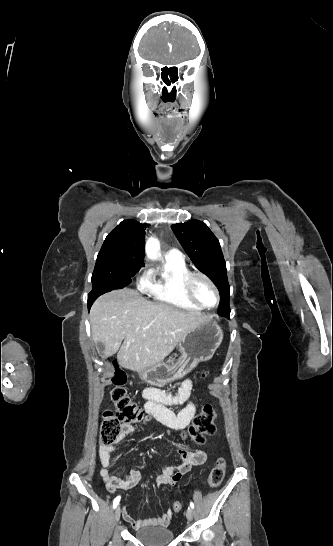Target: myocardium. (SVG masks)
<instances>
[{"label":"myocardium","instance_id":"obj_1","mask_svg":"<svg viewBox=\"0 0 333 546\" xmlns=\"http://www.w3.org/2000/svg\"><path fill=\"white\" fill-rule=\"evenodd\" d=\"M195 278H201L203 280H205L215 291V294H216V303L215 305L209 307V306H206L204 304H202L197 298L196 296L194 295L193 291H192V281L195 279ZM182 289H183V292L185 294V296L192 302L194 303L195 305H197L198 307L202 308V309H205V310H210V309H214L216 308L218 305H219V302H220V291L217 287V285L215 284V282L208 276L206 275L205 273L203 272H199V271H189L182 279Z\"/></svg>","mask_w":333,"mask_h":546}]
</instances>
